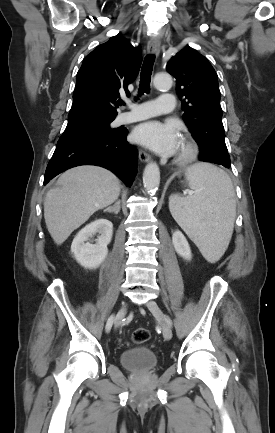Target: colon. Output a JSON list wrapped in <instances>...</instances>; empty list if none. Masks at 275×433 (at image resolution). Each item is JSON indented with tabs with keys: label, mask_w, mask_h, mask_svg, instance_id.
Listing matches in <instances>:
<instances>
[{
	"label": "colon",
	"mask_w": 275,
	"mask_h": 433,
	"mask_svg": "<svg viewBox=\"0 0 275 433\" xmlns=\"http://www.w3.org/2000/svg\"><path fill=\"white\" fill-rule=\"evenodd\" d=\"M149 338H150V333H149V331L147 330V329H145V328H138V329H135L134 331H133V334H132V341L135 343V344H143V343H145L146 341H148L149 340Z\"/></svg>",
	"instance_id": "obj_1"
}]
</instances>
